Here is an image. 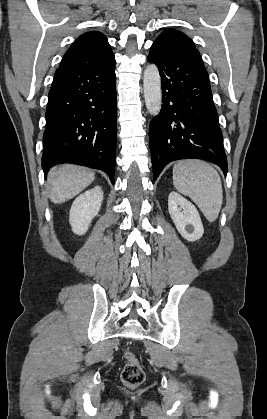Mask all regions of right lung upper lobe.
I'll use <instances>...</instances> for the list:
<instances>
[{"mask_svg":"<svg viewBox=\"0 0 267 419\" xmlns=\"http://www.w3.org/2000/svg\"><path fill=\"white\" fill-rule=\"evenodd\" d=\"M115 61L106 37L97 31L78 37L65 53L60 67L94 68Z\"/></svg>","mask_w":267,"mask_h":419,"instance_id":"obj_1","label":"right lung upper lobe"}]
</instances>
